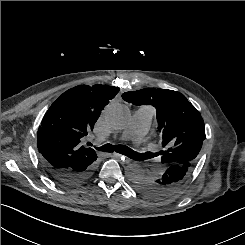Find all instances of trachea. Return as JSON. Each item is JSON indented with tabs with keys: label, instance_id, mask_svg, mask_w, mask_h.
I'll list each match as a JSON object with an SVG mask.
<instances>
[{
	"label": "trachea",
	"instance_id": "1",
	"mask_svg": "<svg viewBox=\"0 0 245 245\" xmlns=\"http://www.w3.org/2000/svg\"><path fill=\"white\" fill-rule=\"evenodd\" d=\"M97 150L99 151H103V152H118L120 154H123L129 158L135 159V160H140L141 159V155L135 151H133L132 149H130L127 146H123V145H112V144H105L99 148H97Z\"/></svg>",
	"mask_w": 245,
	"mask_h": 245
}]
</instances>
